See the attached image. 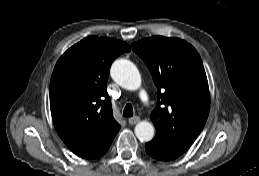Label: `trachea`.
<instances>
[{
    "label": "trachea",
    "mask_w": 259,
    "mask_h": 176,
    "mask_svg": "<svg viewBox=\"0 0 259 176\" xmlns=\"http://www.w3.org/2000/svg\"><path fill=\"white\" fill-rule=\"evenodd\" d=\"M124 117H132L133 116V107L131 104H127L123 111Z\"/></svg>",
    "instance_id": "1"
}]
</instances>
